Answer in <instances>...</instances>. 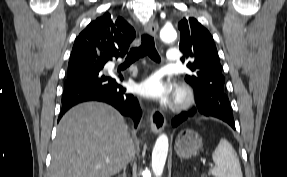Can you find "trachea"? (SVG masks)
Listing matches in <instances>:
<instances>
[{"mask_svg": "<svg viewBox=\"0 0 287 177\" xmlns=\"http://www.w3.org/2000/svg\"><path fill=\"white\" fill-rule=\"evenodd\" d=\"M141 46L138 48L130 49L126 61H136L140 57L148 55L156 62H160V56L155 48L154 38L150 34H143L141 36Z\"/></svg>", "mask_w": 287, "mask_h": 177, "instance_id": "obj_1", "label": "trachea"}]
</instances>
